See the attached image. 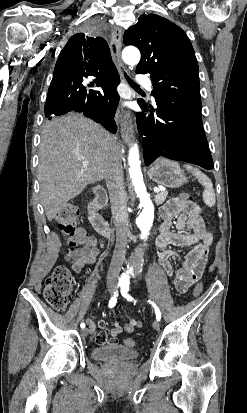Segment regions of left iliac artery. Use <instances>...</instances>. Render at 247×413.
Returning <instances> with one entry per match:
<instances>
[{"label":"left iliac artery","mask_w":247,"mask_h":413,"mask_svg":"<svg viewBox=\"0 0 247 413\" xmlns=\"http://www.w3.org/2000/svg\"><path fill=\"white\" fill-rule=\"evenodd\" d=\"M128 291H129V284H124V285L121 286V294H122V296L125 297L128 301H133V298L128 294ZM134 301H135V300H134ZM148 302H149L150 304H152V306L154 307L155 314H156V319H157L158 321H160V319H161V312H160L159 308L157 307V305H156L153 301L149 300Z\"/></svg>","instance_id":"left-iliac-artery-1"}]
</instances>
